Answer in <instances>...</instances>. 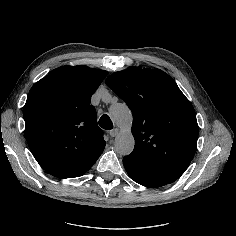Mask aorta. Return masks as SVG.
Masks as SVG:
<instances>
[{"label":"aorta","instance_id":"obj_1","mask_svg":"<svg viewBox=\"0 0 236 236\" xmlns=\"http://www.w3.org/2000/svg\"><path fill=\"white\" fill-rule=\"evenodd\" d=\"M110 116L121 129L115 138V151L120 155H129L135 146L131 133L133 117L129 107L124 103H116L109 110Z\"/></svg>","mask_w":236,"mask_h":236}]
</instances>
